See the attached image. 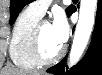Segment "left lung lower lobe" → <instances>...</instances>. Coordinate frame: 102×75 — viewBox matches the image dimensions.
<instances>
[{
  "label": "left lung lower lobe",
  "instance_id": "0a47b994",
  "mask_svg": "<svg viewBox=\"0 0 102 75\" xmlns=\"http://www.w3.org/2000/svg\"><path fill=\"white\" fill-rule=\"evenodd\" d=\"M74 12L72 9L70 15ZM69 15V16H70ZM74 30V29H73ZM66 58L47 69L55 75H101L102 74V1L98 0L95 28L91 44L83 59L69 71L64 72Z\"/></svg>",
  "mask_w": 102,
  "mask_h": 75
}]
</instances>
